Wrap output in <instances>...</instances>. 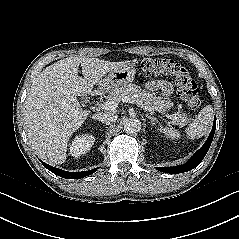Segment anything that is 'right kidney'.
I'll return each instance as SVG.
<instances>
[{"label": "right kidney", "mask_w": 239, "mask_h": 239, "mask_svg": "<svg viewBox=\"0 0 239 239\" xmlns=\"http://www.w3.org/2000/svg\"><path fill=\"white\" fill-rule=\"evenodd\" d=\"M95 142V137L90 134L76 136L70 145V154L77 158L86 154Z\"/></svg>", "instance_id": "obj_1"}]
</instances>
